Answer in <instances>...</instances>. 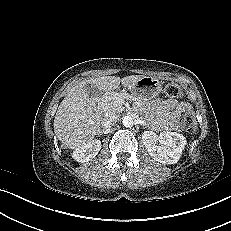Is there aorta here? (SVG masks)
<instances>
[{
  "label": "aorta",
  "instance_id": "aorta-1",
  "mask_svg": "<svg viewBox=\"0 0 231 231\" xmlns=\"http://www.w3.org/2000/svg\"><path fill=\"white\" fill-rule=\"evenodd\" d=\"M122 123L126 128L133 126V119L130 116H124L122 119Z\"/></svg>",
  "mask_w": 231,
  "mask_h": 231
}]
</instances>
